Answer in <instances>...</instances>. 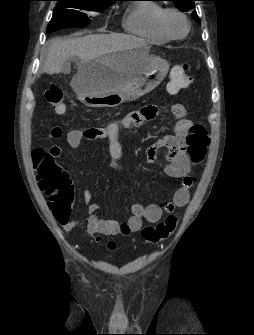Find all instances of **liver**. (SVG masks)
<instances>
[{
  "mask_svg": "<svg viewBox=\"0 0 254 335\" xmlns=\"http://www.w3.org/2000/svg\"><path fill=\"white\" fill-rule=\"evenodd\" d=\"M140 45H144L142 40L124 34H91L72 39L56 37L50 41L43 71L50 75L58 74L63 71V67L69 68L67 62L70 59L78 60V71L72 80L73 89L77 93L75 81L77 78L89 76L88 64L90 62L100 58L107 59L113 53ZM145 69L146 65H141L137 69L118 70L105 75L103 77L106 78V82L103 89L105 91H118L128 80Z\"/></svg>",
  "mask_w": 254,
  "mask_h": 335,
  "instance_id": "liver-1",
  "label": "liver"
}]
</instances>
